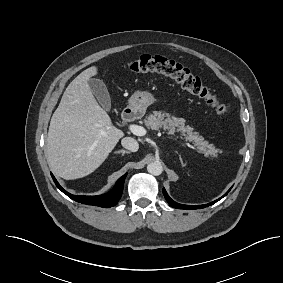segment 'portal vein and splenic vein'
<instances>
[{"label":"portal vein and splenic vein","instance_id":"obj_1","mask_svg":"<svg viewBox=\"0 0 283 283\" xmlns=\"http://www.w3.org/2000/svg\"><path fill=\"white\" fill-rule=\"evenodd\" d=\"M130 131L137 136H144L146 135L147 131L144 127L139 126V125H135V124H131L129 126ZM186 145L192 149H195L192 145H190L189 143H186Z\"/></svg>","mask_w":283,"mask_h":283}]
</instances>
